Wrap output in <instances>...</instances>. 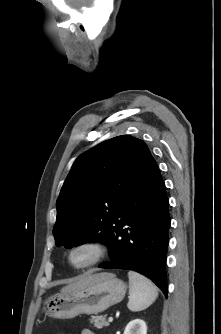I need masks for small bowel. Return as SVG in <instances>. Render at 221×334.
<instances>
[{
    "label": "small bowel",
    "instance_id": "c3829d8e",
    "mask_svg": "<svg viewBox=\"0 0 221 334\" xmlns=\"http://www.w3.org/2000/svg\"><path fill=\"white\" fill-rule=\"evenodd\" d=\"M80 334H95L93 333V331H91L90 329H83Z\"/></svg>",
    "mask_w": 221,
    "mask_h": 334
}]
</instances>
